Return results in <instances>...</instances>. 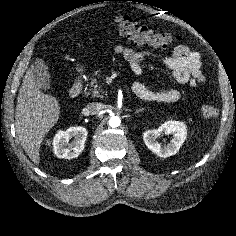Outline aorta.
Wrapping results in <instances>:
<instances>
[{
	"label": "aorta",
	"mask_w": 236,
	"mask_h": 236,
	"mask_svg": "<svg viewBox=\"0 0 236 236\" xmlns=\"http://www.w3.org/2000/svg\"><path fill=\"white\" fill-rule=\"evenodd\" d=\"M108 122L109 126L115 128L120 125L121 119L118 116H111Z\"/></svg>",
	"instance_id": "1"
}]
</instances>
